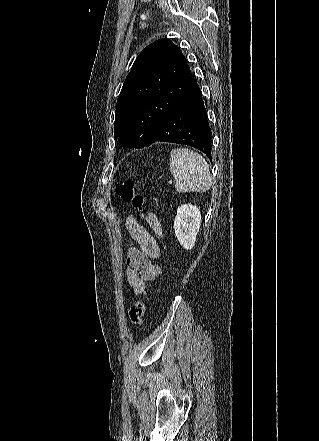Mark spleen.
<instances>
[{"instance_id":"obj_1","label":"spleen","mask_w":319,"mask_h":441,"mask_svg":"<svg viewBox=\"0 0 319 441\" xmlns=\"http://www.w3.org/2000/svg\"><path fill=\"white\" fill-rule=\"evenodd\" d=\"M170 172L179 193L205 192L212 185V176L206 160L188 148H175L170 152Z\"/></svg>"}]
</instances>
